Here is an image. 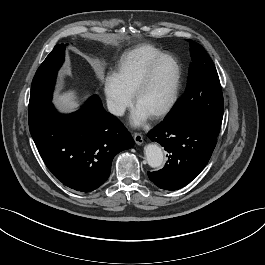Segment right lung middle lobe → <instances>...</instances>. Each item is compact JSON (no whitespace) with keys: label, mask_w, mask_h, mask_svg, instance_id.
Here are the masks:
<instances>
[{"label":"right lung middle lobe","mask_w":265,"mask_h":265,"mask_svg":"<svg viewBox=\"0 0 265 265\" xmlns=\"http://www.w3.org/2000/svg\"><path fill=\"white\" fill-rule=\"evenodd\" d=\"M65 45L57 44L38 68L31 86L29 118L51 103L57 71L64 61Z\"/></svg>","instance_id":"obj_1"}]
</instances>
